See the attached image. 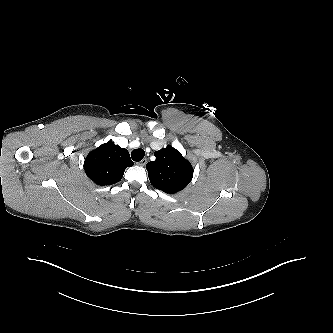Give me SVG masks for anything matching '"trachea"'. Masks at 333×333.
I'll list each match as a JSON object with an SVG mask.
<instances>
[{
	"instance_id": "1",
	"label": "trachea",
	"mask_w": 333,
	"mask_h": 333,
	"mask_svg": "<svg viewBox=\"0 0 333 333\" xmlns=\"http://www.w3.org/2000/svg\"><path fill=\"white\" fill-rule=\"evenodd\" d=\"M145 155V152L143 149L139 148V149H134L132 152H131V157L132 159L135 161V162H139L143 159Z\"/></svg>"
}]
</instances>
